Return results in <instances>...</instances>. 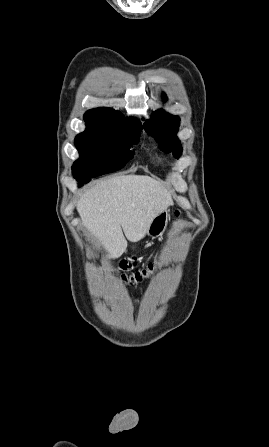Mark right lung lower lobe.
I'll return each mask as SVG.
<instances>
[{"instance_id": "1", "label": "right lung lower lobe", "mask_w": 269, "mask_h": 447, "mask_svg": "<svg viewBox=\"0 0 269 447\" xmlns=\"http://www.w3.org/2000/svg\"><path fill=\"white\" fill-rule=\"evenodd\" d=\"M90 180H91V178L88 179V180H85V181H78V182H79V185H82L83 183H87V182L90 181Z\"/></svg>"}]
</instances>
